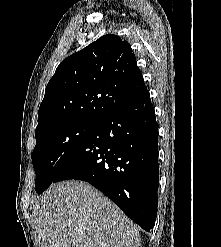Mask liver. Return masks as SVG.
I'll list each match as a JSON object with an SVG mask.
<instances>
[{
    "mask_svg": "<svg viewBox=\"0 0 221 247\" xmlns=\"http://www.w3.org/2000/svg\"><path fill=\"white\" fill-rule=\"evenodd\" d=\"M38 247H139L137 227L85 182L52 185L33 210Z\"/></svg>",
    "mask_w": 221,
    "mask_h": 247,
    "instance_id": "6515ba94",
    "label": "liver"
}]
</instances>
